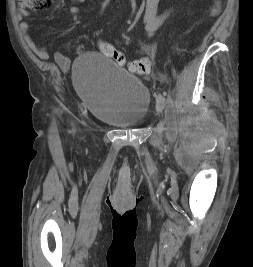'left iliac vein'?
Masks as SVG:
<instances>
[{
    "mask_svg": "<svg viewBox=\"0 0 253 267\" xmlns=\"http://www.w3.org/2000/svg\"><path fill=\"white\" fill-rule=\"evenodd\" d=\"M156 111H157L159 114L162 113L163 108H162V105H161L160 103H157V105H156Z\"/></svg>",
    "mask_w": 253,
    "mask_h": 267,
    "instance_id": "1",
    "label": "left iliac vein"
}]
</instances>
